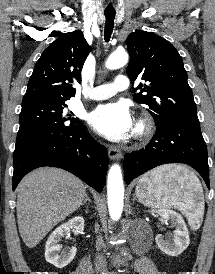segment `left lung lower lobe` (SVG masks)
I'll return each instance as SVG.
<instances>
[{
    "label": "left lung lower lobe",
    "mask_w": 215,
    "mask_h": 274,
    "mask_svg": "<svg viewBox=\"0 0 215 274\" xmlns=\"http://www.w3.org/2000/svg\"><path fill=\"white\" fill-rule=\"evenodd\" d=\"M167 163L193 167L210 188L207 147L200 126L181 122L156 126V134L145 148L125 155V181L128 184L148 170Z\"/></svg>",
    "instance_id": "1"
}]
</instances>
